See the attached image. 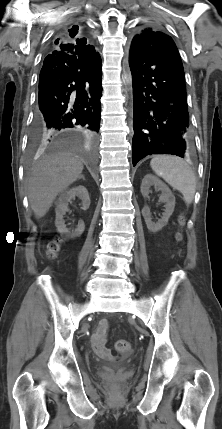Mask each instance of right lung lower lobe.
Segmentation results:
<instances>
[{
    "instance_id": "98d812e1",
    "label": "right lung lower lobe",
    "mask_w": 222,
    "mask_h": 429,
    "mask_svg": "<svg viewBox=\"0 0 222 429\" xmlns=\"http://www.w3.org/2000/svg\"><path fill=\"white\" fill-rule=\"evenodd\" d=\"M101 58L48 54L39 76L38 107L32 134L54 140L69 131L94 135L99 131L102 94Z\"/></svg>"
}]
</instances>
